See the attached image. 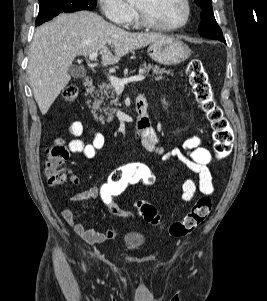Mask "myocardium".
Returning <instances> with one entry per match:
<instances>
[{"instance_id":"myocardium-1","label":"myocardium","mask_w":267,"mask_h":301,"mask_svg":"<svg viewBox=\"0 0 267 301\" xmlns=\"http://www.w3.org/2000/svg\"><path fill=\"white\" fill-rule=\"evenodd\" d=\"M182 1L185 6V14H184L183 19L179 23L172 24V25L158 24V23L154 22L153 20H151L150 18H148L141 9L134 6L138 22L143 27L151 29V30H156V31L168 32V31H174V30L181 29L189 22L190 17H191L190 1L189 0H182Z\"/></svg>"}]
</instances>
